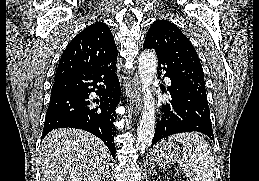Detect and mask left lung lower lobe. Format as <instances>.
Segmentation results:
<instances>
[{
    "label": "left lung lower lobe",
    "mask_w": 259,
    "mask_h": 181,
    "mask_svg": "<svg viewBox=\"0 0 259 181\" xmlns=\"http://www.w3.org/2000/svg\"><path fill=\"white\" fill-rule=\"evenodd\" d=\"M162 69L171 80V86L167 88L171 99L162 104L164 115L158 120L152 146L167 136L191 131L201 132L214 141L207 101L199 98L189 87L177 82L164 61L158 59L157 72ZM161 89L165 90L164 87Z\"/></svg>",
    "instance_id": "left-lung-lower-lobe-1"
}]
</instances>
